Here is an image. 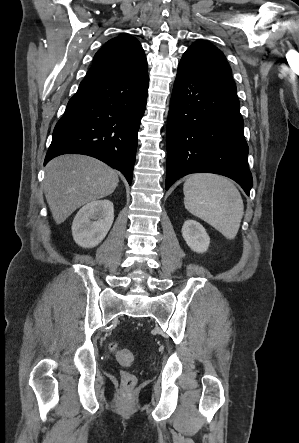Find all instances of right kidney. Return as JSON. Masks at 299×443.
Here are the masks:
<instances>
[{
	"mask_svg": "<svg viewBox=\"0 0 299 443\" xmlns=\"http://www.w3.org/2000/svg\"><path fill=\"white\" fill-rule=\"evenodd\" d=\"M114 220L113 203L97 200L83 206L72 223L74 241L83 248L97 246L105 238Z\"/></svg>",
	"mask_w": 299,
	"mask_h": 443,
	"instance_id": "obj_1",
	"label": "right kidney"
}]
</instances>
